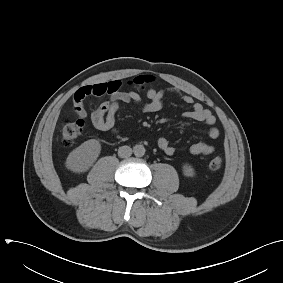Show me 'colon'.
Instances as JSON below:
<instances>
[{"label": "colon", "instance_id": "obj_1", "mask_svg": "<svg viewBox=\"0 0 283 283\" xmlns=\"http://www.w3.org/2000/svg\"><path fill=\"white\" fill-rule=\"evenodd\" d=\"M152 78L149 76H140L133 80L132 84L139 87L144 88L152 83ZM83 121H67L61 127V141L65 146H71L74 142L80 137L83 131ZM222 159L219 157L212 158L208 162V167L211 170H218L222 166Z\"/></svg>", "mask_w": 283, "mask_h": 283}]
</instances>
